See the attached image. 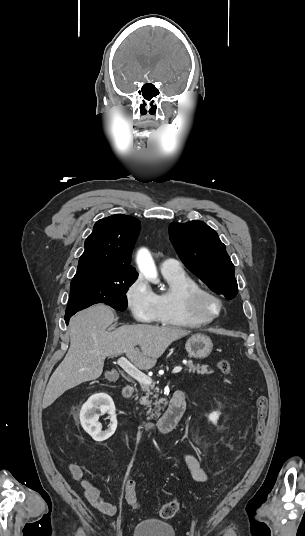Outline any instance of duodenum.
<instances>
[{
    "mask_svg": "<svg viewBox=\"0 0 305 536\" xmlns=\"http://www.w3.org/2000/svg\"><path fill=\"white\" fill-rule=\"evenodd\" d=\"M124 398L132 395V388L125 386L122 390ZM186 397L181 390L174 392L170 399V404L166 413L156 423H144L142 428L150 434H167L172 431L178 424L185 411Z\"/></svg>",
    "mask_w": 305,
    "mask_h": 536,
    "instance_id": "obj_1",
    "label": "duodenum"
}]
</instances>
